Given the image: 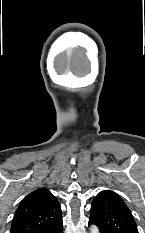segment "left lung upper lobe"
Here are the masks:
<instances>
[{
	"mask_svg": "<svg viewBox=\"0 0 145 233\" xmlns=\"http://www.w3.org/2000/svg\"><path fill=\"white\" fill-rule=\"evenodd\" d=\"M90 221L101 233H138L131 211L122 198L109 190L101 191L94 198Z\"/></svg>",
	"mask_w": 145,
	"mask_h": 233,
	"instance_id": "5c2ea615",
	"label": "left lung upper lobe"
}]
</instances>
